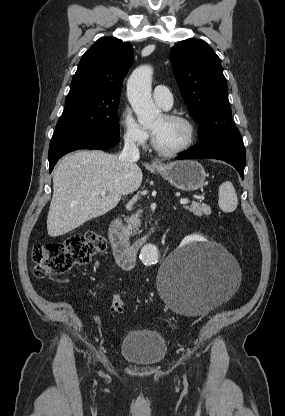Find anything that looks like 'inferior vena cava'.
<instances>
[{"label":"inferior vena cava","instance_id":"inferior-vena-cava-1","mask_svg":"<svg viewBox=\"0 0 285 416\" xmlns=\"http://www.w3.org/2000/svg\"><path fill=\"white\" fill-rule=\"evenodd\" d=\"M139 158V148H137L135 144V138L132 134L127 132L124 136V148L119 156V160H121L125 172H128L129 166L135 164Z\"/></svg>","mask_w":285,"mask_h":416}]
</instances>
